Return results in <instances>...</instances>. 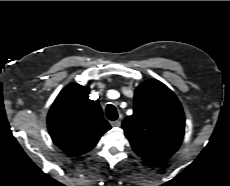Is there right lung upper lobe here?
<instances>
[{
	"instance_id": "right-lung-upper-lobe-1",
	"label": "right lung upper lobe",
	"mask_w": 230,
	"mask_h": 186,
	"mask_svg": "<svg viewBox=\"0 0 230 186\" xmlns=\"http://www.w3.org/2000/svg\"><path fill=\"white\" fill-rule=\"evenodd\" d=\"M89 88L76 83L66 86L54 101L47 118L53 142L64 152L80 155L91 150L111 129Z\"/></svg>"
}]
</instances>
